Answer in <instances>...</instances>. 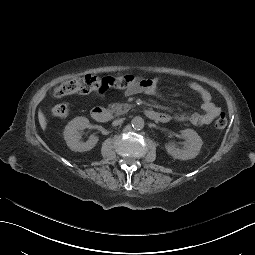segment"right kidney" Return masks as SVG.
I'll use <instances>...</instances> for the list:
<instances>
[{
    "label": "right kidney",
    "mask_w": 255,
    "mask_h": 255,
    "mask_svg": "<svg viewBox=\"0 0 255 255\" xmlns=\"http://www.w3.org/2000/svg\"><path fill=\"white\" fill-rule=\"evenodd\" d=\"M88 127V119L81 117L71 121L65 130V141L67 146L74 152H86L92 150L98 143L99 138L92 135L86 143L80 142L84 130Z\"/></svg>",
    "instance_id": "1"
}]
</instances>
